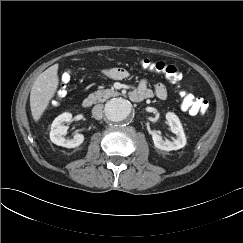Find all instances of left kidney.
<instances>
[{"mask_svg": "<svg viewBox=\"0 0 243 243\" xmlns=\"http://www.w3.org/2000/svg\"><path fill=\"white\" fill-rule=\"evenodd\" d=\"M166 119L168 125L170 126L171 132L174 133L177 138L173 141L167 139L163 140L161 134L158 131H153L152 139L155 147L165 151L178 150L183 148L186 145V137L179 118L174 113L168 112L166 114Z\"/></svg>", "mask_w": 243, "mask_h": 243, "instance_id": "1", "label": "left kidney"}]
</instances>
